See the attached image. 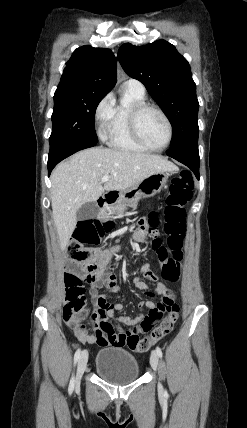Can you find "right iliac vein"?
<instances>
[{"label": "right iliac vein", "instance_id": "obj_1", "mask_svg": "<svg viewBox=\"0 0 247 428\" xmlns=\"http://www.w3.org/2000/svg\"><path fill=\"white\" fill-rule=\"evenodd\" d=\"M88 362V352L84 350L78 360L77 373L75 379V387L78 388L80 386L82 375L86 369Z\"/></svg>", "mask_w": 247, "mask_h": 428}]
</instances>
